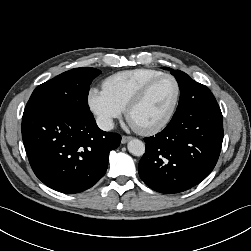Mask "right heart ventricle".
I'll list each match as a JSON object with an SVG mask.
<instances>
[{"label":"right heart ventricle","mask_w":251,"mask_h":251,"mask_svg":"<svg viewBox=\"0 0 251 251\" xmlns=\"http://www.w3.org/2000/svg\"><path fill=\"white\" fill-rule=\"evenodd\" d=\"M160 74H162L161 71L145 68L121 71L106 78L103 82V89L125 109L140 88Z\"/></svg>","instance_id":"obj_1"}]
</instances>
